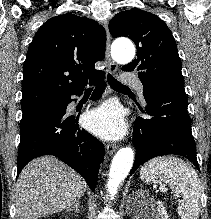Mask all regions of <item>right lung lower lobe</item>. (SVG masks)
I'll list each match as a JSON object with an SVG mask.
<instances>
[{"label":"right lung lower lobe","instance_id":"98d812e1","mask_svg":"<svg viewBox=\"0 0 211 219\" xmlns=\"http://www.w3.org/2000/svg\"><path fill=\"white\" fill-rule=\"evenodd\" d=\"M104 75L94 81L96 89L92 100H98L105 89ZM84 87L71 95H80ZM71 95L54 104L22 116L20 122V145L17 160V175L32 159L54 155L81 174L94 191L100 164L103 161L104 145L78 125V117L66 114Z\"/></svg>","mask_w":211,"mask_h":219}]
</instances>
